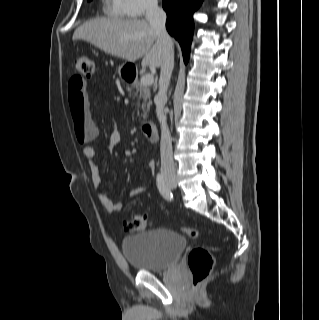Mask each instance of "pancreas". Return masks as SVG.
Wrapping results in <instances>:
<instances>
[{
  "label": "pancreas",
  "mask_w": 319,
  "mask_h": 320,
  "mask_svg": "<svg viewBox=\"0 0 319 320\" xmlns=\"http://www.w3.org/2000/svg\"><path fill=\"white\" fill-rule=\"evenodd\" d=\"M129 96L132 98L137 97V105L142 108L141 116L143 119L147 118V113L150 110L151 102V92L148 86L143 85L138 80H135L127 87Z\"/></svg>",
  "instance_id": "obj_1"
}]
</instances>
